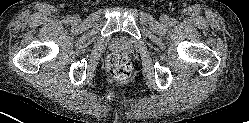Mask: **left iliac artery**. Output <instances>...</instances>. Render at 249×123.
Returning <instances> with one entry per match:
<instances>
[{
  "instance_id": "obj_1",
  "label": "left iliac artery",
  "mask_w": 249,
  "mask_h": 123,
  "mask_svg": "<svg viewBox=\"0 0 249 123\" xmlns=\"http://www.w3.org/2000/svg\"><path fill=\"white\" fill-rule=\"evenodd\" d=\"M170 25H175L176 24V20L174 18L170 19Z\"/></svg>"
}]
</instances>
